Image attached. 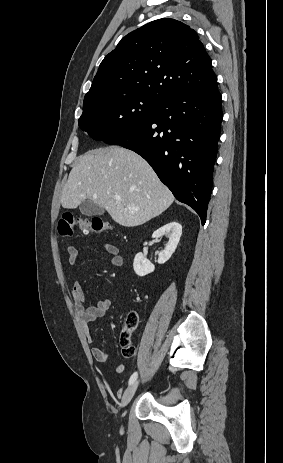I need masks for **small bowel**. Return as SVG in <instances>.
Here are the masks:
<instances>
[{"label":"small bowel","mask_w":283,"mask_h":463,"mask_svg":"<svg viewBox=\"0 0 283 463\" xmlns=\"http://www.w3.org/2000/svg\"><path fill=\"white\" fill-rule=\"evenodd\" d=\"M104 249L110 255V263L112 266L119 267L123 264V259L117 246L107 243L104 245ZM67 251L68 262L71 265L76 264L80 255L79 250L74 246H69ZM71 296L79 312L86 338L89 342H91L92 336L89 331L90 324L97 318L104 316L109 311L112 306V301L110 299H102L95 306H87V299L78 281H75L72 285ZM91 352L96 361L105 362L108 360V352L99 346L92 347ZM113 369L116 373L120 374L124 371V365L116 363L113 365Z\"/></svg>","instance_id":"c3829d8e"}]
</instances>
